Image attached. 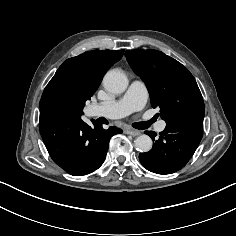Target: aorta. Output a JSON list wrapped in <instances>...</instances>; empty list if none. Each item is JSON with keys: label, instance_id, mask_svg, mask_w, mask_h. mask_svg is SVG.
I'll list each match as a JSON object with an SVG mask.
<instances>
[{"label": "aorta", "instance_id": "aorta-1", "mask_svg": "<svg viewBox=\"0 0 236 236\" xmlns=\"http://www.w3.org/2000/svg\"><path fill=\"white\" fill-rule=\"evenodd\" d=\"M103 86L111 93L120 94L127 89L128 78L121 70L113 69L105 74ZM134 145L139 152H148L151 150L153 142L148 135L142 134L135 139Z\"/></svg>", "mask_w": 236, "mask_h": 236}]
</instances>
